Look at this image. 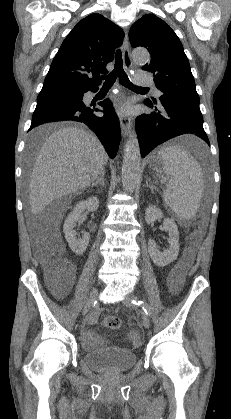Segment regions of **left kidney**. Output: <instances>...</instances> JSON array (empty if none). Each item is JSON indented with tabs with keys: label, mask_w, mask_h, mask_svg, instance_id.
<instances>
[{
	"label": "left kidney",
	"mask_w": 231,
	"mask_h": 419,
	"mask_svg": "<svg viewBox=\"0 0 231 419\" xmlns=\"http://www.w3.org/2000/svg\"><path fill=\"white\" fill-rule=\"evenodd\" d=\"M163 217L162 211L156 206H148L145 211V221L151 224L154 221ZM163 227L169 233V248L160 252L155 241L149 239L148 250L152 261L158 266H166L174 261L179 253V232L175 221L171 218L163 220Z\"/></svg>",
	"instance_id": "obj_1"
}]
</instances>
